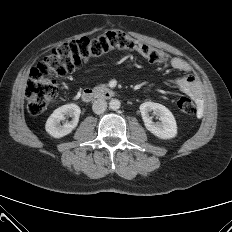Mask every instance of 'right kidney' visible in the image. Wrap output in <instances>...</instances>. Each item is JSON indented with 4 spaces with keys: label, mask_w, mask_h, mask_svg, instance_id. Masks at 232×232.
<instances>
[{
    "label": "right kidney",
    "mask_w": 232,
    "mask_h": 232,
    "mask_svg": "<svg viewBox=\"0 0 232 232\" xmlns=\"http://www.w3.org/2000/svg\"><path fill=\"white\" fill-rule=\"evenodd\" d=\"M80 113V107L73 103L57 108L46 122V132L54 138H61L68 135L78 125ZM65 115L72 117L73 120L61 125L60 121L65 119Z\"/></svg>",
    "instance_id": "obj_1"
}]
</instances>
